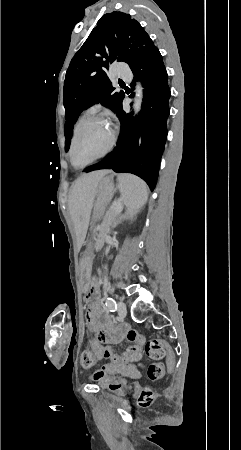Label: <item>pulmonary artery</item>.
Here are the masks:
<instances>
[{
  "label": "pulmonary artery",
  "mask_w": 241,
  "mask_h": 450,
  "mask_svg": "<svg viewBox=\"0 0 241 450\" xmlns=\"http://www.w3.org/2000/svg\"><path fill=\"white\" fill-rule=\"evenodd\" d=\"M114 71L117 73L116 77L120 84H131L134 79L133 71H123V66L121 64H116L114 66Z\"/></svg>",
  "instance_id": "obj_1"
}]
</instances>
